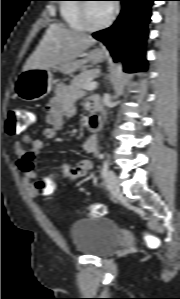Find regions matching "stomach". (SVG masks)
<instances>
[{"instance_id": "obj_1", "label": "stomach", "mask_w": 180, "mask_h": 299, "mask_svg": "<svg viewBox=\"0 0 180 299\" xmlns=\"http://www.w3.org/2000/svg\"><path fill=\"white\" fill-rule=\"evenodd\" d=\"M79 60H72L55 67L63 74L72 76L77 70L85 67L86 63H101L106 58L103 51L94 49L82 53ZM53 74L51 69L30 68L22 71L15 81L17 96L24 101H37L44 98L51 90Z\"/></svg>"}]
</instances>
